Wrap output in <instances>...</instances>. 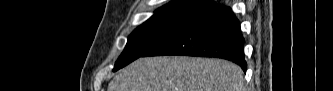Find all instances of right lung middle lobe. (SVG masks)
<instances>
[{"label": "right lung middle lobe", "mask_w": 333, "mask_h": 91, "mask_svg": "<svg viewBox=\"0 0 333 91\" xmlns=\"http://www.w3.org/2000/svg\"><path fill=\"white\" fill-rule=\"evenodd\" d=\"M214 3L206 0L200 6L206 10ZM189 20L183 18L158 17L150 18L136 28L128 38L127 45L118 58L113 71H116L135 59L143 56L152 48L156 47L172 34L183 27Z\"/></svg>", "instance_id": "dd1d6c3e"}]
</instances>
